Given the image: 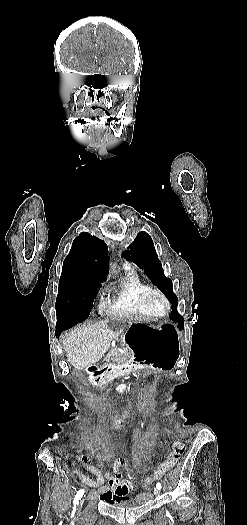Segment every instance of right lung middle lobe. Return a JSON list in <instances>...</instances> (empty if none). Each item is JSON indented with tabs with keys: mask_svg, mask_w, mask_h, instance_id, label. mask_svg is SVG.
<instances>
[{
	"mask_svg": "<svg viewBox=\"0 0 247 525\" xmlns=\"http://www.w3.org/2000/svg\"><path fill=\"white\" fill-rule=\"evenodd\" d=\"M106 276L62 272L56 299V326L71 327L87 319L100 283Z\"/></svg>",
	"mask_w": 247,
	"mask_h": 525,
	"instance_id": "dd1d6c3e",
	"label": "right lung middle lobe"
}]
</instances>
